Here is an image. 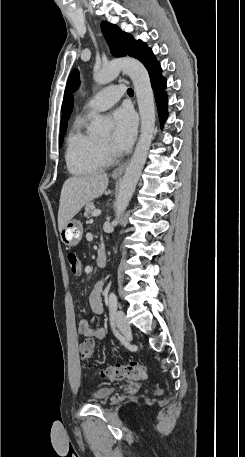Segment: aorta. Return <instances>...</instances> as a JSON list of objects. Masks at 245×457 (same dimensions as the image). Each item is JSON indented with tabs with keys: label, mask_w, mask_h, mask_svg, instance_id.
<instances>
[{
	"label": "aorta",
	"mask_w": 245,
	"mask_h": 457,
	"mask_svg": "<svg viewBox=\"0 0 245 457\" xmlns=\"http://www.w3.org/2000/svg\"><path fill=\"white\" fill-rule=\"evenodd\" d=\"M120 71L128 74L133 82L141 118V132L134 154L120 184L115 204L117 218L123 214L131 200L146 162L155 128L153 90L149 74L141 62L132 58L113 60L102 68L94 70V80L98 84H107L113 81ZM110 125V119L96 115L92 121L91 130L96 134H103L109 130Z\"/></svg>",
	"instance_id": "1"
}]
</instances>
